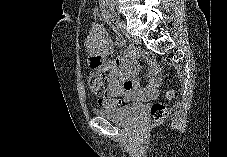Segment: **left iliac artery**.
<instances>
[{"mask_svg": "<svg viewBox=\"0 0 227 157\" xmlns=\"http://www.w3.org/2000/svg\"><path fill=\"white\" fill-rule=\"evenodd\" d=\"M116 26H117L118 28H121L122 24H121V22H120L119 20H117Z\"/></svg>", "mask_w": 227, "mask_h": 157, "instance_id": "1", "label": "left iliac artery"}]
</instances>
